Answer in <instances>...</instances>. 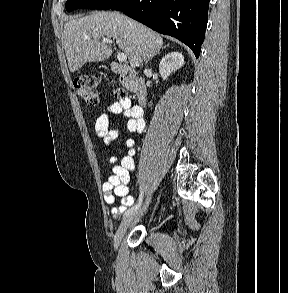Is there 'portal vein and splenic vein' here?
I'll return each instance as SVG.
<instances>
[{
  "mask_svg": "<svg viewBox=\"0 0 288 293\" xmlns=\"http://www.w3.org/2000/svg\"><path fill=\"white\" fill-rule=\"evenodd\" d=\"M102 43L112 44L113 41L109 38H102ZM117 59L119 62H125L127 61V55L125 53H118Z\"/></svg>",
  "mask_w": 288,
  "mask_h": 293,
  "instance_id": "obj_1",
  "label": "portal vein and splenic vein"
}]
</instances>
